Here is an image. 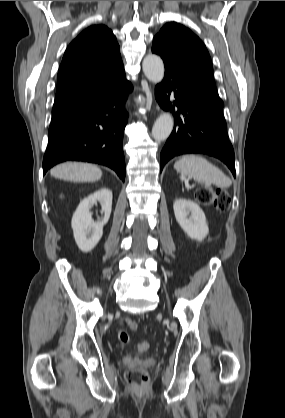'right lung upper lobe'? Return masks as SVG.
<instances>
[{
  "label": "right lung upper lobe",
  "instance_id": "cb5924a9",
  "mask_svg": "<svg viewBox=\"0 0 285 418\" xmlns=\"http://www.w3.org/2000/svg\"><path fill=\"white\" fill-rule=\"evenodd\" d=\"M124 77L116 37L104 25H92L64 53L53 109L63 110L80 103Z\"/></svg>",
  "mask_w": 285,
  "mask_h": 418
}]
</instances>
